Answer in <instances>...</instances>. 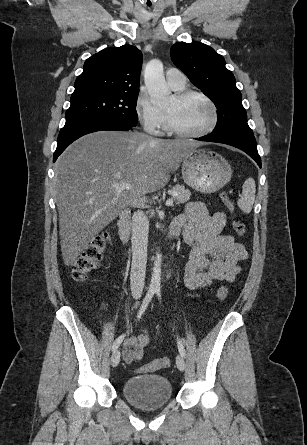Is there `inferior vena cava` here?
<instances>
[{
  "instance_id": "inferior-vena-cava-1",
  "label": "inferior vena cava",
  "mask_w": 307,
  "mask_h": 445,
  "mask_svg": "<svg viewBox=\"0 0 307 445\" xmlns=\"http://www.w3.org/2000/svg\"><path fill=\"white\" fill-rule=\"evenodd\" d=\"M148 233V220L143 210H137L132 216V267L130 273V287L135 300L140 298L144 289Z\"/></svg>"
}]
</instances>
